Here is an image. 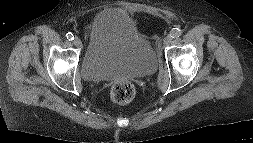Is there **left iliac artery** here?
Listing matches in <instances>:
<instances>
[{"mask_svg":"<svg viewBox=\"0 0 253 143\" xmlns=\"http://www.w3.org/2000/svg\"><path fill=\"white\" fill-rule=\"evenodd\" d=\"M181 35V30L179 28H173L170 32L172 38H178Z\"/></svg>","mask_w":253,"mask_h":143,"instance_id":"obj_1","label":"left iliac artery"}]
</instances>
